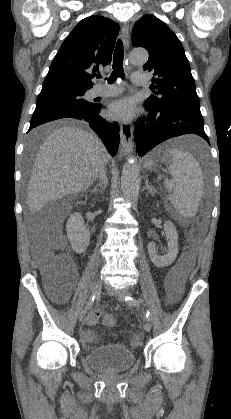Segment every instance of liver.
Instances as JSON below:
<instances>
[{
	"label": "liver",
	"mask_w": 231,
	"mask_h": 419,
	"mask_svg": "<svg viewBox=\"0 0 231 419\" xmlns=\"http://www.w3.org/2000/svg\"><path fill=\"white\" fill-rule=\"evenodd\" d=\"M41 126L31 138L50 131L41 144L31 170L28 205L37 212L53 200L88 189L110 155L92 132L65 122Z\"/></svg>",
	"instance_id": "obj_1"
}]
</instances>
